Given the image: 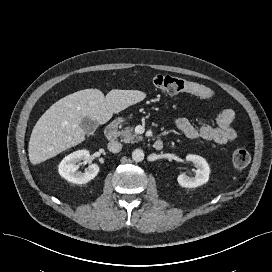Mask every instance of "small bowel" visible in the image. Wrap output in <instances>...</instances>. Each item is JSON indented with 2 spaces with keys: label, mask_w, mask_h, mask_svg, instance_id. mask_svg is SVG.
<instances>
[{
  "label": "small bowel",
  "mask_w": 272,
  "mask_h": 272,
  "mask_svg": "<svg viewBox=\"0 0 272 272\" xmlns=\"http://www.w3.org/2000/svg\"><path fill=\"white\" fill-rule=\"evenodd\" d=\"M234 117L235 113L232 109L223 108L215 122L201 119L194 124L187 118H178L174 126L189 139H202L222 145L233 142L237 138V132L232 127Z\"/></svg>",
  "instance_id": "obj_1"
}]
</instances>
